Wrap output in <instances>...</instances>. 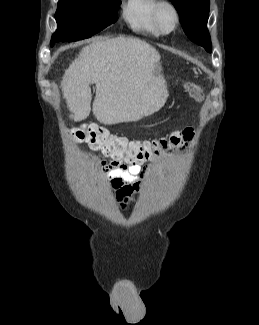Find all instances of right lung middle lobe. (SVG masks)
I'll use <instances>...</instances> for the list:
<instances>
[{"label":"right lung middle lobe","mask_w":259,"mask_h":325,"mask_svg":"<svg viewBox=\"0 0 259 325\" xmlns=\"http://www.w3.org/2000/svg\"><path fill=\"white\" fill-rule=\"evenodd\" d=\"M121 0H59L51 46L91 37L117 20Z\"/></svg>","instance_id":"dd1d6c3e"}]
</instances>
